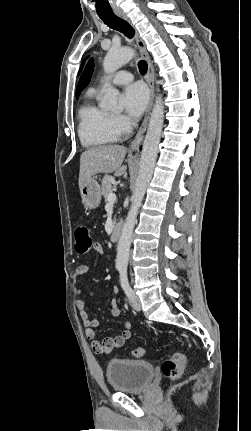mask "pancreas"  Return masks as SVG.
Masks as SVG:
<instances>
[{
  "instance_id": "pancreas-1",
  "label": "pancreas",
  "mask_w": 251,
  "mask_h": 431,
  "mask_svg": "<svg viewBox=\"0 0 251 431\" xmlns=\"http://www.w3.org/2000/svg\"><path fill=\"white\" fill-rule=\"evenodd\" d=\"M114 179L110 176H105L102 180V195L104 196L105 202H108V196L110 193H113L114 187L112 183Z\"/></svg>"
}]
</instances>
